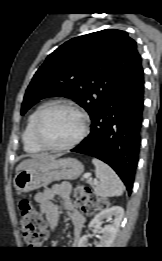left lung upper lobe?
Here are the masks:
<instances>
[{
    "instance_id": "5c2ea615",
    "label": "left lung upper lobe",
    "mask_w": 162,
    "mask_h": 261,
    "mask_svg": "<svg viewBox=\"0 0 162 261\" xmlns=\"http://www.w3.org/2000/svg\"><path fill=\"white\" fill-rule=\"evenodd\" d=\"M140 65L137 44L125 31L106 29L73 38L35 73L21 115L43 98L62 96L74 99L91 117L112 89Z\"/></svg>"
}]
</instances>
